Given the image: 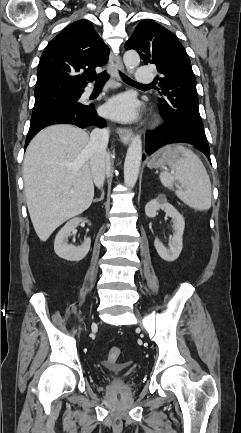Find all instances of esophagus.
I'll return each mask as SVG.
<instances>
[{
	"label": "esophagus",
	"mask_w": 241,
	"mask_h": 433,
	"mask_svg": "<svg viewBox=\"0 0 241 433\" xmlns=\"http://www.w3.org/2000/svg\"><path fill=\"white\" fill-rule=\"evenodd\" d=\"M109 61L113 78L116 80V83L120 85L119 72H124V65L122 63L121 57L119 55L110 54ZM117 133L120 137L121 142L125 145H127L133 137L132 129L127 127H118Z\"/></svg>",
	"instance_id": "obj_1"
}]
</instances>
